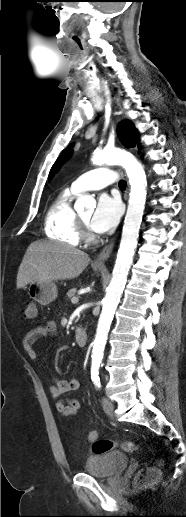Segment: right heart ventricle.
<instances>
[{
    "label": "right heart ventricle",
    "mask_w": 186,
    "mask_h": 517,
    "mask_svg": "<svg viewBox=\"0 0 186 517\" xmlns=\"http://www.w3.org/2000/svg\"><path fill=\"white\" fill-rule=\"evenodd\" d=\"M76 194L72 188L62 190L51 202L45 216V233L53 240L69 246L81 242L79 217L71 205Z\"/></svg>",
    "instance_id": "1"
}]
</instances>
